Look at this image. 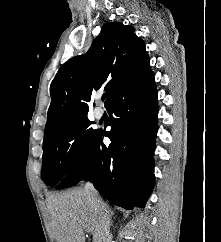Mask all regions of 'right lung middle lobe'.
I'll return each mask as SVG.
<instances>
[{"mask_svg":"<svg viewBox=\"0 0 221 242\" xmlns=\"http://www.w3.org/2000/svg\"><path fill=\"white\" fill-rule=\"evenodd\" d=\"M87 116L81 117L43 141L41 179L47 185L59 183L81 160L97 130Z\"/></svg>","mask_w":221,"mask_h":242,"instance_id":"dd1d6c3e","label":"right lung middle lobe"}]
</instances>
